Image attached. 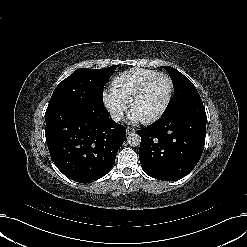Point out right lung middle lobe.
<instances>
[{
  "label": "right lung middle lobe",
  "mask_w": 247,
  "mask_h": 247,
  "mask_svg": "<svg viewBox=\"0 0 247 247\" xmlns=\"http://www.w3.org/2000/svg\"><path fill=\"white\" fill-rule=\"evenodd\" d=\"M117 65L105 69L80 68L55 88L47 109L62 104H103V89Z\"/></svg>",
  "instance_id": "right-lung-middle-lobe-1"
}]
</instances>
